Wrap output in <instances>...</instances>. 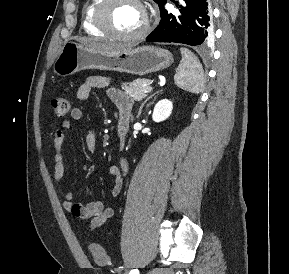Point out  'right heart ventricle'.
<instances>
[{"label":"right heart ventricle","instance_id":"1","mask_svg":"<svg viewBox=\"0 0 289 274\" xmlns=\"http://www.w3.org/2000/svg\"><path fill=\"white\" fill-rule=\"evenodd\" d=\"M100 0H87L82 11V26L84 31L92 36L103 37L105 34L94 23V11Z\"/></svg>","mask_w":289,"mask_h":274}]
</instances>
